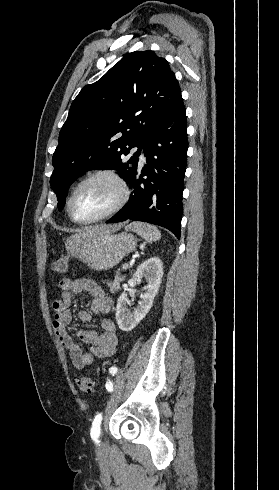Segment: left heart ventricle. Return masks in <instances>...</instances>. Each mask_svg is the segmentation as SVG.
Wrapping results in <instances>:
<instances>
[{"label": "left heart ventricle", "mask_w": 279, "mask_h": 490, "mask_svg": "<svg viewBox=\"0 0 279 490\" xmlns=\"http://www.w3.org/2000/svg\"><path fill=\"white\" fill-rule=\"evenodd\" d=\"M118 197L116 185L108 179L85 182L77 191L73 203L76 219L87 220L107 209Z\"/></svg>", "instance_id": "obj_1"}]
</instances>
